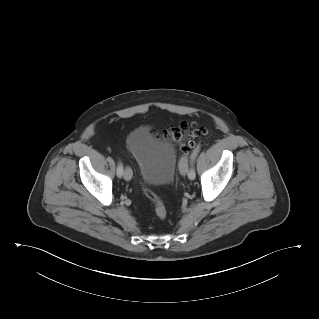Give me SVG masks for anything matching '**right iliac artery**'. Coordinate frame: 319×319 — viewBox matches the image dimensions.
Segmentation results:
<instances>
[{
    "mask_svg": "<svg viewBox=\"0 0 319 319\" xmlns=\"http://www.w3.org/2000/svg\"><path fill=\"white\" fill-rule=\"evenodd\" d=\"M117 176L118 177H122L123 176V164H122V162H118Z\"/></svg>",
    "mask_w": 319,
    "mask_h": 319,
    "instance_id": "obj_1",
    "label": "right iliac artery"
}]
</instances>
